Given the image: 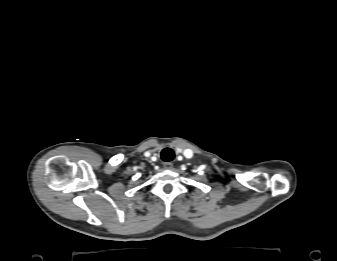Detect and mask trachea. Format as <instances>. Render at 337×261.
Here are the masks:
<instances>
[{
	"instance_id": "trachea-1",
	"label": "trachea",
	"mask_w": 337,
	"mask_h": 261,
	"mask_svg": "<svg viewBox=\"0 0 337 261\" xmlns=\"http://www.w3.org/2000/svg\"><path fill=\"white\" fill-rule=\"evenodd\" d=\"M175 157V153L171 148H165L161 152V159L165 162L172 161Z\"/></svg>"
}]
</instances>
